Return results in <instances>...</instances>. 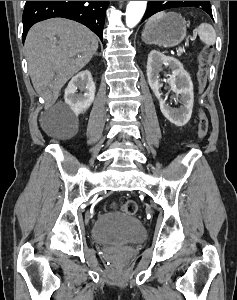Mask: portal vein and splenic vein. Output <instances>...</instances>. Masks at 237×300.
I'll list each match as a JSON object with an SVG mask.
<instances>
[{"label": "portal vein and splenic vein", "mask_w": 237, "mask_h": 300, "mask_svg": "<svg viewBox=\"0 0 237 300\" xmlns=\"http://www.w3.org/2000/svg\"><path fill=\"white\" fill-rule=\"evenodd\" d=\"M179 49H180V56H183V53H184V50H183V47L180 45L179 47H178Z\"/></svg>", "instance_id": "1"}]
</instances>
